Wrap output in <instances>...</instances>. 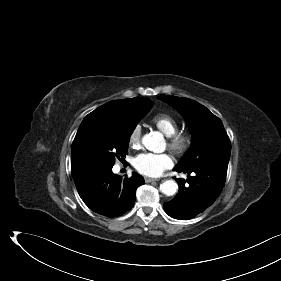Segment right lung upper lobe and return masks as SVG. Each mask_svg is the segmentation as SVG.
Here are the masks:
<instances>
[{
  "instance_id": "obj_1",
  "label": "right lung upper lobe",
  "mask_w": 281,
  "mask_h": 281,
  "mask_svg": "<svg viewBox=\"0 0 281 281\" xmlns=\"http://www.w3.org/2000/svg\"><path fill=\"white\" fill-rule=\"evenodd\" d=\"M149 99L135 97L124 100L110 101L93 112L89 113L82 121L75 139L72 143L71 151V172L72 176L86 171L79 153V148L87 129L94 124L116 123L129 119L134 113L139 111Z\"/></svg>"
}]
</instances>
